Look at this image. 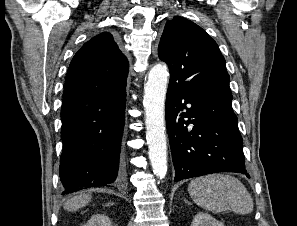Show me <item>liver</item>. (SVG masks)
<instances>
[{
    "mask_svg": "<svg viewBox=\"0 0 297 226\" xmlns=\"http://www.w3.org/2000/svg\"><path fill=\"white\" fill-rule=\"evenodd\" d=\"M90 200H91V195L89 194H81V195L75 196L65 203L64 209L69 212L76 211L82 207H85Z\"/></svg>",
    "mask_w": 297,
    "mask_h": 226,
    "instance_id": "6515ba94",
    "label": "liver"
}]
</instances>
